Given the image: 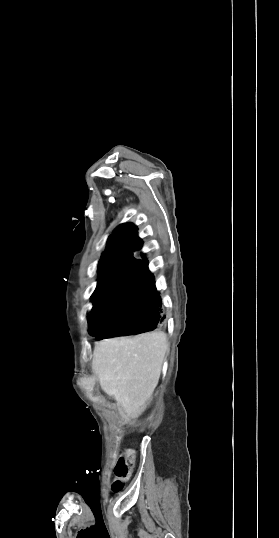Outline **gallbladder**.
Instances as JSON below:
<instances>
[{
  "label": "gallbladder",
  "mask_w": 279,
  "mask_h": 538,
  "mask_svg": "<svg viewBox=\"0 0 279 538\" xmlns=\"http://www.w3.org/2000/svg\"><path fill=\"white\" fill-rule=\"evenodd\" d=\"M110 409H113V406H110Z\"/></svg>",
  "instance_id": "obj_1"
}]
</instances>
